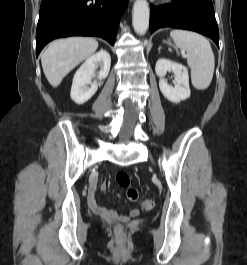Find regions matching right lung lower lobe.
Segmentation results:
<instances>
[{"instance_id":"right-lung-lower-lobe-1","label":"right lung lower lobe","mask_w":247,"mask_h":265,"mask_svg":"<svg viewBox=\"0 0 247 265\" xmlns=\"http://www.w3.org/2000/svg\"><path fill=\"white\" fill-rule=\"evenodd\" d=\"M128 0H42L36 30V56L51 40L97 36L114 44Z\"/></svg>"}]
</instances>
